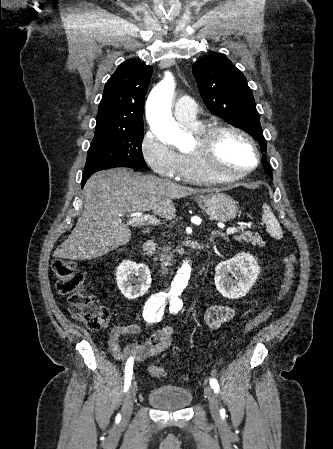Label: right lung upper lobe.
Instances as JSON below:
<instances>
[{"label":"right lung upper lobe","instance_id":"right-lung-upper-lobe-1","mask_svg":"<svg viewBox=\"0 0 333 449\" xmlns=\"http://www.w3.org/2000/svg\"><path fill=\"white\" fill-rule=\"evenodd\" d=\"M153 67L136 59L120 64L107 81L97 114V131H134L143 127L144 99Z\"/></svg>","mask_w":333,"mask_h":449}]
</instances>
